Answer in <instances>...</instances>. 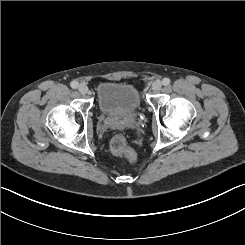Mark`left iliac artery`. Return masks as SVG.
I'll return each mask as SVG.
<instances>
[{
  "label": "left iliac artery",
  "instance_id": "obj_1",
  "mask_svg": "<svg viewBox=\"0 0 245 245\" xmlns=\"http://www.w3.org/2000/svg\"><path fill=\"white\" fill-rule=\"evenodd\" d=\"M170 79L169 78H164L163 80H162V84L164 85V86H167V85H169L170 84Z\"/></svg>",
  "mask_w": 245,
  "mask_h": 245
}]
</instances>
